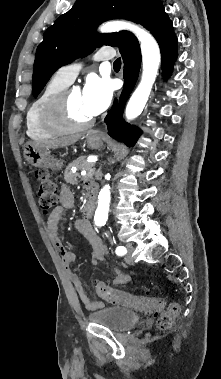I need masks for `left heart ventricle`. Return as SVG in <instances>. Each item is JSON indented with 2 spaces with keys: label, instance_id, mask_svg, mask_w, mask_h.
I'll use <instances>...</instances> for the list:
<instances>
[{
  "label": "left heart ventricle",
  "instance_id": "b2bd125f",
  "mask_svg": "<svg viewBox=\"0 0 221 379\" xmlns=\"http://www.w3.org/2000/svg\"><path fill=\"white\" fill-rule=\"evenodd\" d=\"M69 113L76 122H83L92 117L83 104L82 92L79 90H72L70 93Z\"/></svg>",
  "mask_w": 221,
  "mask_h": 379
}]
</instances>
